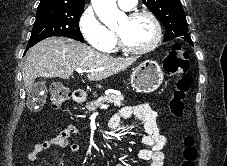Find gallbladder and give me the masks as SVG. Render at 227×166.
Instances as JSON below:
<instances>
[{
    "label": "gallbladder",
    "instance_id": "obj_1",
    "mask_svg": "<svg viewBox=\"0 0 227 166\" xmlns=\"http://www.w3.org/2000/svg\"><path fill=\"white\" fill-rule=\"evenodd\" d=\"M46 97V82L38 81L34 83L28 94L27 107L33 111L40 110L46 101Z\"/></svg>",
    "mask_w": 227,
    "mask_h": 166
}]
</instances>
